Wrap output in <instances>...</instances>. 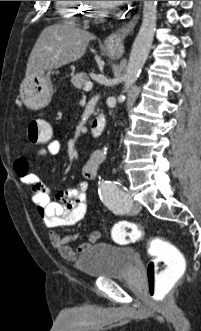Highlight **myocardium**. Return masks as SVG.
Returning a JSON list of instances; mask_svg holds the SVG:
<instances>
[{
	"label": "myocardium",
	"instance_id": "myocardium-1",
	"mask_svg": "<svg viewBox=\"0 0 201 331\" xmlns=\"http://www.w3.org/2000/svg\"><path fill=\"white\" fill-rule=\"evenodd\" d=\"M88 8L86 12V17L93 21H100L104 19L109 13L110 9L107 5L100 1H87Z\"/></svg>",
	"mask_w": 201,
	"mask_h": 331
}]
</instances>
